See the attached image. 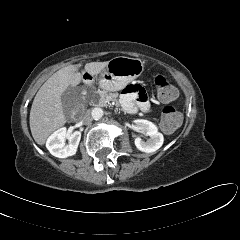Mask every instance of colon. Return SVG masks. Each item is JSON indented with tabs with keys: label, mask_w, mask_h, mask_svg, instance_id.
Listing matches in <instances>:
<instances>
[{
	"label": "colon",
	"mask_w": 240,
	"mask_h": 240,
	"mask_svg": "<svg viewBox=\"0 0 240 240\" xmlns=\"http://www.w3.org/2000/svg\"><path fill=\"white\" fill-rule=\"evenodd\" d=\"M155 92L157 98L164 103L174 101L178 96L176 87L164 76H157L154 79ZM181 115L173 107L167 106L162 111L161 128L166 133L175 131L181 124Z\"/></svg>",
	"instance_id": "1"
}]
</instances>
